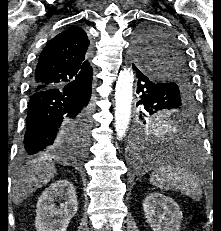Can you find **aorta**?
Returning a JSON list of instances; mask_svg holds the SVG:
<instances>
[{
	"instance_id": "aorta-1",
	"label": "aorta",
	"mask_w": 221,
	"mask_h": 231,
	"mask_svg": "<svg viewBox=\"0 0 221 231\" xmlns=\"http://www.w3.org/2000/svg\"><path fill=\"white\" fill-rule=\"evenodd\" d=\"M134 74L132 70L124 69L120 72L115 88V131L118 139L126 135L130 119L133 100ZM147 136H143L146 141Z\"/></svg>"
}]
</instances>
